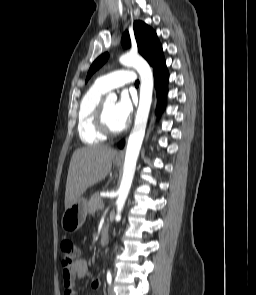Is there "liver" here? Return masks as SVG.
I'll return each mask as SVG.
<instances>
[{
	"instance_id": "obj_1",
	"label": "liver",
	"mask_w": 256,
	"mask_h": 295,
	"mask_svg": "<svg viewBox=\"0 0 256 295\" xmlns=\"http://www.w3.org/2000/svg\"><path fill=\"white\" fill-rule=\"evenodd\" d=\"M116 150L106 145L87 146L74 151L67 175L65 208L111 171Z\"/></svg>"
}]
</instances>
